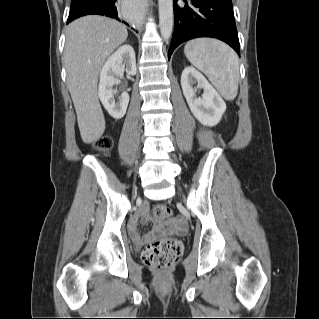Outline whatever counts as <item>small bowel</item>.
<instances>
[{"mask_svg": "<svg viewBox=\"0 0 319 319\" xmlns=\"http://www.w3.org/2000/svg\"><path fill=\"white\" fill-rule=\"evenodd\" d=\"M147 207H148V202L144 201L142 205L139 207L137 212L133 215V217L130 220V223L128 225L129 232L134 236V237H139V232H138V218L139 216L142 217V220L144 222H151L155 228V235L145 239V241H148L152 239L153 237L157 236L159 233H162L163 231H167L169 233H176V234H182L186 230V224L185 221L182 217L180 216H175L171 220L168 221L167 229H164V224L163 222L159 220H153L148 216L147 213Z\"/></svg>", "mask_w": 319, "mask_h": 319, "instance_id": "small-bowel-1", "label": "small bowel"}]
</instances>
